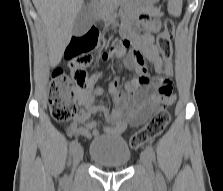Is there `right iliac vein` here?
<instances>
[{
	"label": "right iliac vein",
	"instance_id": "63e3f726",
	"mask_svg": "<svg viewBox=\"0 0 223 191\" xmlns=\"http://www.w3.org/2000/svg\"><path fill=\"white\" fill-rule=\"evenodd\" d=\"M83 157V148L78 145L73 152V167L75 168Z\"/></svg>",
	"mask_w": 223,
	"mask_h": 191
}]
</instances>
